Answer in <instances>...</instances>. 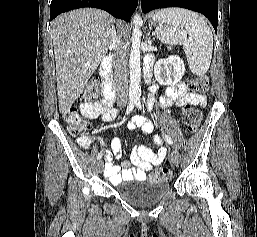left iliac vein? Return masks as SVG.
<instances>
[{"mask_svg": "<svg viewBox=\"0 0 257 237\" xmlns=\"http://www.w3.org/2000/svg\"><path fill=\"white\" fill-rule=\"evenodd\" d=\"M170 159L173 163L178 164L180 161L179 154L176 150L170 152Z\"/></svg>", "mask_w": 257, "mask_h": 237, "instance_id": "obj_1", "label": "left iliac vein"}]
</instances>
